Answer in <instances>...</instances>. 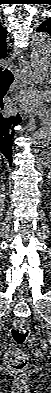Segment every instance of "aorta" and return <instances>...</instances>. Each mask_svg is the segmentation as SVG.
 <instances>
[{
  "instance_id": "obj_1",
  "label": "aorta",
  "mask_w": 51,
  "mask_h": 393,
  "mask_svg": "<svg viewBox=\"0 0 51 393\" xmlns=\"http://www.w3.org/2000/svg\"><path fill=\"white\" fill-rule=\"evenodd\" d=\"M30 58L36 79L46 82L49 77L48 68L51 58V38L48 34L38 33L32 36ZM50 141L51 127L49 125L39 129L34 136V142L37 145H47Z\"/></svg>"
}]
</instances>
